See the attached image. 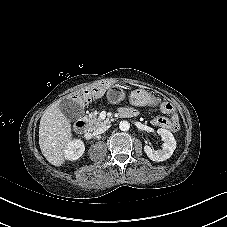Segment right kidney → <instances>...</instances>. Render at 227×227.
<instances>
[{
    "mask_svg": "<svg viewBox=\"0 0 227 227\" xmlns=\"http://www.w3.org/2000/svg\"><path fill=\"white\" fill-rule=\"evenodd\" d=\"M84 151L83 141L81 139H74L64 149V156L67 160L75 161L83 155Z\"/></svg>",
    "mask_w": 227,
    "mask_h": 227,
    "instance_id": "obj_1",
    "label": "right kidney"
}]
</instances>
